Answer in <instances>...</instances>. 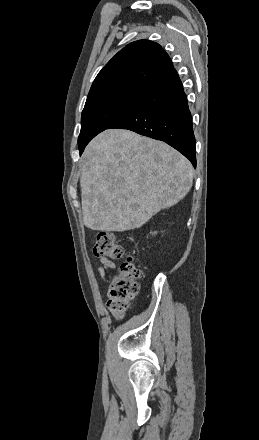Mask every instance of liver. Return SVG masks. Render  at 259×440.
Listing matches in <instances>:
<instances>
[{"instance_id":"liver-1","label":"liver","mask_w":259,"mask_h":440,"mask_svg":"<svg viewBox=\"0 0 259 440\" xmlns=\"http://www.w3.org/2000/svg\"><path fill=\"white\" fill-rule=\"evenodd\" d=\"M193 175L188 159L166 143L129 130H105L83 153L84 225L108 232L139 228L182 200Z\"/></svg>"}]
</instances>
